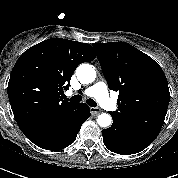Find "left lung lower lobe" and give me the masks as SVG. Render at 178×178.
<instances>
[{
	"label": "left lung lower lobe",
	"mask_w": 178,
	"mask_h": 178,
	"mask_svg": "<svg viewBox=\"0 0 178 178\" xmlns=\"http://www.w3.org/2000/svg\"><path fill=\"white\" fill-rule=\"evenodd\" d=\"M102 136L110 151L122 155L138 153L155 140L114 120L110 128L102 131Z\"/></svg>",
	"instance_id": "0a47b994"
}]
</instances>
